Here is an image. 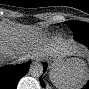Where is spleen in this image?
Listing matches in <instances>:
<instances>
[{"mask_svg":"<svg viewBox=\"0 0 89 89\" xmlns=\"http://www.w3.org/2000/svg\"><path fill=\"white\" fill-rule=\"evenodd\" d=\"M49 79L58 89L80 88L88 79V67L82 60H69L53 67Z\"/></svg>","mask_w":89,"mask_h":89,"instance_id":"3e777b00","label":"spleen"}]
</instances>
